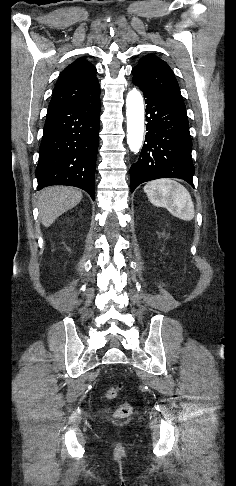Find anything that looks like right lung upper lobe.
Here are the masks:
<instances>
[{"label":"right lung upper lobe","instance_id":"obj_1","mask_svg":"<svg viewBox=\"0 0 236 486\" xmlns=\"http://www.w3.org/2000/svg\"><path fill=\"white\" fill-rule=\"evenodd\" d=\"M96 68L84 58H78L59 75L48 109L91 99L100 94Z\"/></svg>","mask_w":236,"mask_h":486}]
</instances>
